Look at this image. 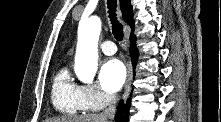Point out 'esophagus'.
Listing matches in <instances>:
<instances>
[{
    "instance_id": "34e87169",
    "label": "esophagus",
    "mask_w": 221,
    "mask_h": 122,
    "mask_svg": "<svg viewBox=\"0 0 221 122\" xmlns=\"http://www.w3.org/2000/svg\"><path fill=\"white\" fill-rule=\"evenodd\" d=\"M131 81H132V67L130 63H127V78H126L124 94H123L124 101H126V99L129 96L130 89H131Z\"/></svg>"
}]
</instances>
